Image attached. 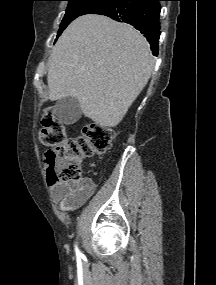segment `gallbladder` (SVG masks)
Here are the masks:
<instances>
[{
    "mask_svg": "<svg viewBox=\"0 0 216 285\" xmlns=\"http://www.w3.org/2000/svg\"><path fill=\"white\" fill-rule=\"evenodd\" d=\"M54 114L66 125L74 124L82 115L79 102L73 97L58 100L54 107Z\"/></svg>",
    "mask_w": 216,
    "mask_h": 285,
    "instance_id": "1",
    "label": "gallbladder"
}]
</instances>
